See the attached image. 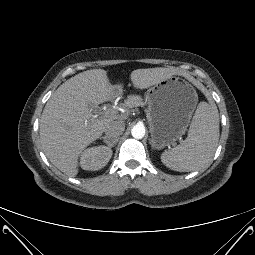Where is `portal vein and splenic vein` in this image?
<instances>
[{
    "instance_id": "portal-vein-and-splenic-vein-1",
    "label": "portal vein and splenic vein",
    "mask_w": 255,
    "mask_h": 255,
    "mask_svg": "<svg viewBox=\"0 0 255 255\" xmlns=\"http://www.w3.org/2000/svg\"><path fill=\"white\" fill-rule=\"evenodd\" d=\"M114 113H115V111H105L104 115L110 116V115H113Z\"/></svg>"
}]
</instances>
